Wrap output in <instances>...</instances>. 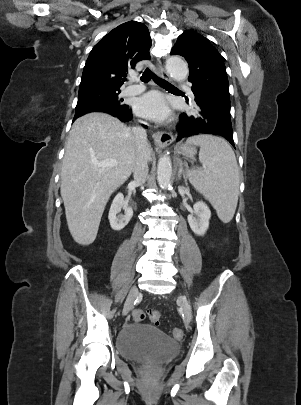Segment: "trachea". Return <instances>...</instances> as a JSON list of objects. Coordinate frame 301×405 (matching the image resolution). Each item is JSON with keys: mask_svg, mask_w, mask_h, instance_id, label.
<instances>
[{"mask_svg": "<svg viewBox=\"0 0 301 405\" xmlns=\"http://www.w3.org/2000/svg\"><path fill=\"white\" fill-rule=\"evenodd\" d=\"M151 79H153L155 81V83H157L159 86H161L167 90H178L175 86H173L166 80L156 76L151 70L146 69L141 76V81L148 82Z\"/></svg>", "mask_w": 301, "mask_h": 405, "instance_id": "obj_1", "label": "trachea"}]
</instances>
